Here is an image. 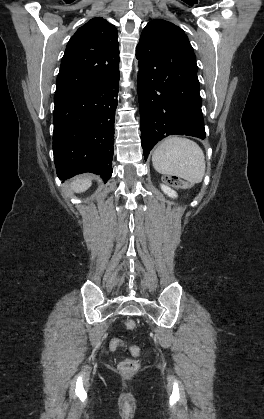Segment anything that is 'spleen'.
Instances as JSON below:
<instances>
[{
    "label": "spleen",
    "mask_w": 264,
    "mask_h": 419,
    "mask_svg": "<svg viewBox=\"0 0 264 419\" xmlns=\"http://www.w3.org/2000/svg\"><path fill=\"white\" fill-rule=\"evenodd\" d=\"M152 163L157 172L180 177L192 184L202 181L206 168L199 145L178 136L169 137L159 144L153 152Z\"/></svg>",
    "instance_id": "spleen-1"
}]
</instances>
